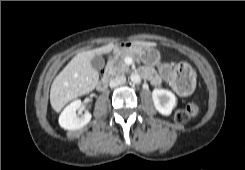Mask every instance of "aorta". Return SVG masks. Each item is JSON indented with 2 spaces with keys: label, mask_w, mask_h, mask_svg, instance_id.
Segmentation results:
<instances>
[{
  "label": "aorta",
  "mask_w": 245,
  "mask_h": 170,
  "mask_svg": "<svg viewBox=\"0 0 245 170\" xmlns=\"http://www.w3.org/2000/svg\"><path fill=\"white\" fill-rule=\"evenodd\" d=\"M130 81H131L132 83H134V84H138V83L141 82V77H140V75L137 74V73H132V74L130 75Z\"/></svg>",
  "instance_id": "obj_1"
}]
</instances>
